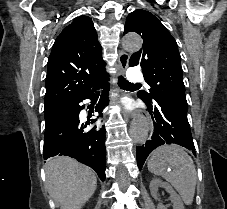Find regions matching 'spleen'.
<instances>
[{"label": "spleen", "instance_id": "spleen-1", "mask_svg": "<svg viewBox=\"0 0 227 209\" xmlns=\"http://www.w3.org/2000/svg\"><path fill=\"white\" fill-rule=\"evenodd\" d=\"M148 171L163 177L179 193L185 205H192L197 173L195 165L179 145H162L152 153L148 161ZM171 169V171H168Z\"/></svg>", "mask_w": 227, "mask_h": 209}]
</instances>
